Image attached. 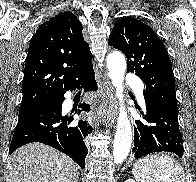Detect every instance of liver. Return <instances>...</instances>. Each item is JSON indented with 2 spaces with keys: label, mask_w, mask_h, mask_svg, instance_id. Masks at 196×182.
Wrapping results in <instances>:
<instances>
[{
  "label": "liver",
  "mask_w": 196,
  "mask_h": 182,
  "mask_svg": "<svg viewBox=\"0 0 196 182\" xmlns=\"http://www.w3.org/2000/svg\"><path fill=\"white\" fill-rule=\"evenodd\" d=\"M7 182H77L78 166L65 154L41 144L18 148L6 165Z\"/></svg>",
  "instance_id": "obj_1"
}]
</instances>
